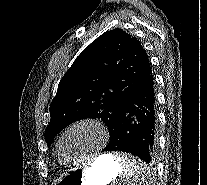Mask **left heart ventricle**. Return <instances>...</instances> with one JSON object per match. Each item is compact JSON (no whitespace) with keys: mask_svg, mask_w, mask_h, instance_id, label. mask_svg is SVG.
Wrapping results in <instances>:
<instances>
[{"mask_svg":"<svg viewBox=\"0 0 207 185\" xmlns=\"http://www.w3.org/2000/svg\"><path fill=\"white\" fill-rule=\"evenodd\" d=\"M104 140L96 127L79 125L70 130L64 137L62 151L68 159H80L99 150Z\"/></svg>","mask_w":207,"mask_h":185,"instance_id":"left-heart-ventricle-1","label":"left heart ventricle"}]
</instances>
